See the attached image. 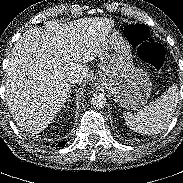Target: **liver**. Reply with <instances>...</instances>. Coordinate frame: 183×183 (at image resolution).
<instances>
[{
    "label": "liver",
    "mask_w": 183,
    "mask_h": 183,
    "mask_svg": "<svg viewBox=\"0 0 183 183\" xmlns=\"http://www.w3.org/2000/svg\"><path fill=\"white\" fill-rule=\"evenodd\" d=\"M114 24L105 17L48 21L19 38L6 69L5 97L22 130L38 134L51 123L70 92L68 76L77 73L84 82L85 63L100 53Z\"/></svg>",
    "instance_id": "6515ba94"
}]
</instances>
